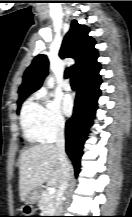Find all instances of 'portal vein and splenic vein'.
I'll return each mask as SVG.
<instances>
[{
	"mask_svg": "<svg viewBox=\"0 0 132 217\" xmlns=\"http://www.w3.org/2000/svg\"><path fill=\"white\" fill-rule=\"evenodd\" d=\"M48 191H49L50 194H55L56 189L54 187H51V188L48 189Z\"/></svg>",
	"mask_w": 132,
	"mask_h": 217,
	"instance_id": "portal-vein-and-splenic-vein-1",
	"label": "portal vein and splenic vein"
}]
</instances>
